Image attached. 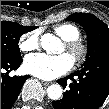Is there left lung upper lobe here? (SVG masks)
<instances>
[{
	"label": "left lung upper lobe",
	"instance_id": "obj_1",
	"mask_svg": "<svg viewBox=\"0 0 109 109\" xmlns=\"http://www.w3.org/2000/svg\"><path fill=\"white\" fill-rule=\"evenodd\" d=\"M67 20L82 25L88 38V54L84 66L103 57H109V27L93 14L74 13L67 17ZM69 103L77 102L80 99V90L68 89L64 94Z\"/></svg>",
	"mask_w": 109,
	"mask_h": 109
}]
</instances>
